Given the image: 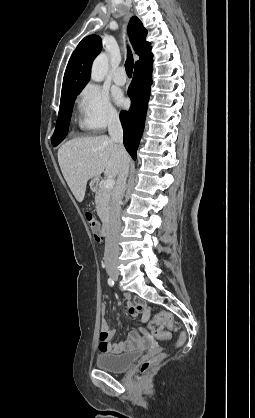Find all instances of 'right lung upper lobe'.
I'll list each match as a JSON object with an SVG mask.
<instances>
[{"mask_svg": "<svg viewBox=\"0 0 255 418\" xmlns=\"http://www.w3.org/2000/svg\"><path fill=\"white\" fill-rule=\"evenodd\" d=\"M128 32L133 49L140 57L135 63V69L151 63V46L145 40L147 30L136 16L130 19ZM101 49L102 41L97 35H89L81 40L68 62L61 94L84 88L90 77L92 62Z\"/></svg>", "mask_w": 255, "mask_h": 418, "instance_id": "1", "label": "right lung upper lobe"}]
</instances>
